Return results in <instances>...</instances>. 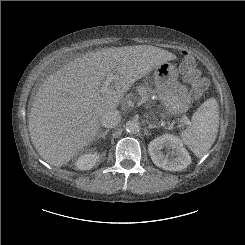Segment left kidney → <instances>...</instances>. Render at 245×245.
<instances>
[{"instance_id":"5707ae66","label":"left kidney","mask_w":245,"mask_h":245,"mask_svg":"<svg viewBox=\"0 0 245 245\" xmlns=\"http://www.w3.org/2000/svg\"><path fill=\"white\" fill-rule=\"evenodd\" d=\"M163 148L167 150L166 154ZM148 151L154 164L164 170L181 171L191 164L188 151L175 135L164 134L155 138L149 143Z\"/></svg>"}]
</instances>
